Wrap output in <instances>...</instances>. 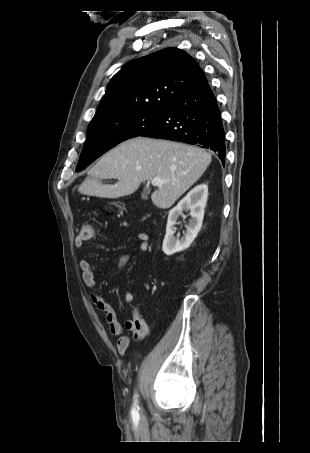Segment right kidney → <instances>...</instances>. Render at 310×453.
Listing matches in <instances>:
<instances>
[{
	"label": "right kidney",
	"instance_id": "obj_1",
	"mask_svg": "<svg viewBox=\"0 0 310 453\" xmlns=\"http://www.w3.org/2000/svg\"><path fill=\"white\" fill-rule=\"evenodd\" d=\"M208 197L207 184L195 186L173 209L169 211L166 235L163 240V252L170 256L187 249L202 227L204 208ZM190 210L191 219L182 238H176V221L183 211Z\"/></svg>",
	"mask_w": 310,
	"mask_h": 453
}]
</instances>
